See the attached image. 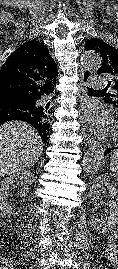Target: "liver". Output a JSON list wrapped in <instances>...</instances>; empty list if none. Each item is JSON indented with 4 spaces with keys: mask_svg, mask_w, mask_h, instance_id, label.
Masks as SVG:
<instances>
[{
    "mask_svg": "<svg viewBox=\"0 0 118 269\" xmlns=\"http://www.w3.org/2000/svg\"><path fill=\"white\" fill-rule=\"evenodd\" d=\"M42 153L41 138L29 124L11 121L0 126V177L33 166Z\"/></svg>",
    "mask_w": 118,
    "mask_h": 269,
    "instance_id": "6515ba94",
    "label": "liver"
}]
</instances>
